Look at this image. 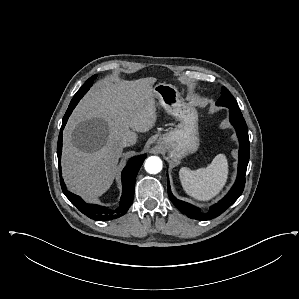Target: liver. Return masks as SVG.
Segmentation results:
<instances>
[{"label": "liver", "mask_w": 299, "mask_h": 299, "mask_svg": "<svg viewBox=\"0 0 299 299\" xmlns=\"http://www.w3.org/2000/svg\"><path fill=\"white\" fill-rule=\"evenodd\" d=\"M156 81L153 77L104 81L81 100L63 138L62 171L72 192L93 201L109 189L123 152V138L131 130L143 133L155 126Z\"/></svg>", "instance_id": "1"}]
</instances>
